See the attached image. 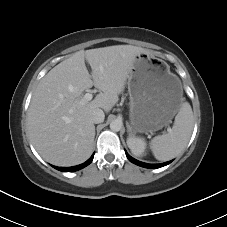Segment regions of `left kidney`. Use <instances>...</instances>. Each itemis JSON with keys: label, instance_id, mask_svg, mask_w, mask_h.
<instances>
[{"label": "left kidney", "instance_id": "left-kidney-1", "mask_svg": "<svg viewBox=\"0 0 227 227\" xmlns=\"http://www.w3.org/2000/svg\"><path fill=\"white\" fill-rule=\"evenodd\" d=\"M127 145L135 156L141 157L144 155L146 149V142L144 139L135 136H129L127 138Z\"/></svg>", "mask_w": 227, "mask_h": 227}]
</instances>
